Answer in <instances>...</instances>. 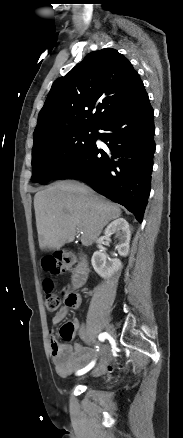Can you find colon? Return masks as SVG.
Instances as JSON below:
<instances>
[{
	"label": "colon",
	"instance_id": "colon-1",
	"mask_svg": "<svg viewBox=\"0 0 183 438\" xmlns=\"http://www.w3.org/2000/svg\"><path fill=\"white\" fill-rule=\"evenodd\" d=\"M76 260L75 255L70 251H59L42 260V268L49 274H59L70 267ZM45 307L49 312L56 311L60 306V297L54 292L53 282L46 280L44 282ZM78 300L75 293L66 294V303L74 304ZM75 334V328L71 322L64 324L60 329V336L63 340L70 341Z\"/></svg>",
	"mask_w": 183,
	"mask_h": 438
}]
</instances>
